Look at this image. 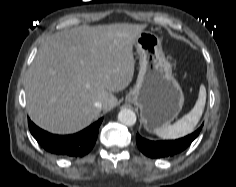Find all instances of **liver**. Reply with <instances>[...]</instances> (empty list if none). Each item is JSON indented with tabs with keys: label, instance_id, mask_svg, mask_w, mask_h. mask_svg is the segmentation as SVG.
Here are the masks:
<instances>
[{
	"label": "liver",
	"instance_id": "6515ba94",
	"mask_svg": "<svg viewBox=\"0 0 236 187\" xmlns=\"http://www.w3.org/2000/svg\"><path fill=\"white\" fill-rule=\"evenodd\" d=\"M146 25L79 26L49 37L25 80L27 110L42 129L75 133L117 105L134 75L133 45ZM101 102L102 108L95 107Z\"/></svg>",
	"mask_w": 236,
	"mask_h": 187
}]
</instances>
